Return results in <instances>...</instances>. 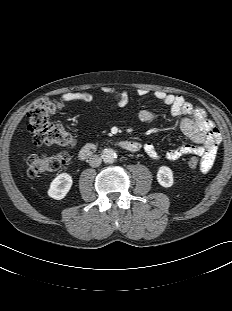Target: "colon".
<instances>
[{
	"instance_id": "5ec220e1",
	"label": "colon",
	"mask_w": 232,
	"mask_h": 311,
	"mask_svg": "<svg viewBox=\"0 0 232 311\" xmlns=\"http://www.w3.org/2000/svg\"><path fill=\"white\" fill-rule=\"evenodd\" d=\"M62 107V102L52 98L38 100L29 112L28 130L32 141L36 146L58 145L69 147L74 139L70 132L62 125L50 121V115ZM68 161L65 152H59L51 156L32 155L28 158V175L37 177L39 175L55 172ZM187 165L190 169L199 166L197 156L188 159Z\"/></svg>"
}]
</instances>
